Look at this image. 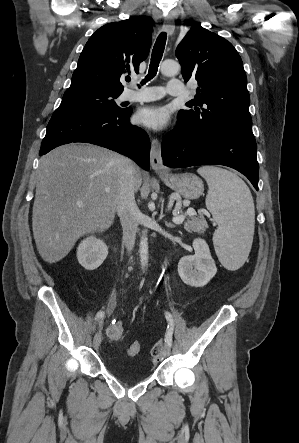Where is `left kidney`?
I'll list each match as a JSON object with an SVG mask.
<instances>
[{"mask_svg": "<svg viewBox=\"0 0 299 443\" xmlns=\"http://www.w3.org/2000/svg\"><path fill=\"white\" fill-rule=\"evenodd\" d=\"M193 248L195 255L180 259L178 274L185 284L203 287L215 276L217 268L205 240L195 239Z\"/></svg>", "mask_w": 299, "mask_h": 443, "instance_id": "5707ae66", "label": "left kidney"}]
</instances>
